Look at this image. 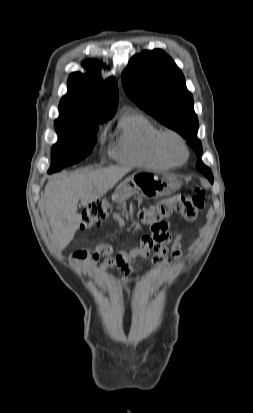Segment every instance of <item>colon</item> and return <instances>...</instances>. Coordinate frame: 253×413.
<instances>
[{
    "instance_id": "5ec220e1",
    "label": "colon",
    "mask_w": 253,
    "mask_h": 413,
    "mask_svg": "<svg viewBox=\"0 0 253 413\" xmlns=\"http://www.w3.org/2000/svg\"><path fill=\"white\" fill-rule=\"evenodd\" d=\"M206 200L205 191L199 187L194 188L193 195H177L162 199L156 204L142 207L138 210V219L144 225L159 228L169 217L174 214L192 221L198 217L204 208ZM112 211L108 200H98L85 209L82 213L81 228L90 229L106 219Z\"/></svg>"
}]
</instances>
